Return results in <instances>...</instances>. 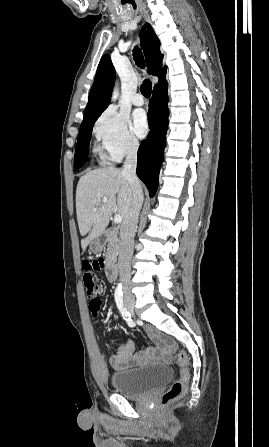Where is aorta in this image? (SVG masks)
<instances>
[{
  "instance_id": "762f6f07",
  "label": "aorta",
  "mask_w": 269,
  "mask_h": 447,
  "mask_svg": "<svg viewBox=\"0 0 269 447\" xmlns=\"http://www.w3.org/2000/svg\"><path fill=\"white\" fill-rule=\"evenodd\" d=\"M118 96H119V94H118V92H116V90H115V92H114V94H113V98H112L113 102H115V100H117Z\"/></svg>"
}]
</instances>
